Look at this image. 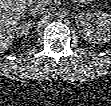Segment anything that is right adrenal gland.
Listing matches in <instances>:
<instances>
[{
  "label": "right adrenal gland",
  "instance_id": "1",
  "mask_svg": "<svg viewBox=\"0 0 111 106\" xmlns=\"http://www.w3.org/2000/svg\"><path fill=\"white\" fill-rule=\"evenodd\" d=\"M30 15H32V16H34V17L37 16L36 14H34V13H32V12L29 13V16H30Z\"/></svg>",
  "mask_w": 111,
  "mask_h": 106
}]
</instances>
